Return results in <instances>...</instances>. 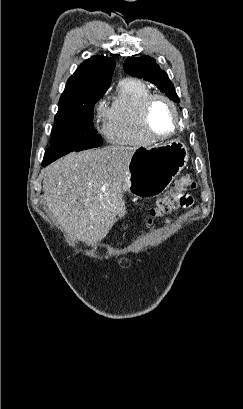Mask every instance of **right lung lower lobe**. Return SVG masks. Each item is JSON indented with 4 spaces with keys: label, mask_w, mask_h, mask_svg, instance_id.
<instances>
[{
    "label": "right lung lower lobe",
    "mask_w": 243,
    "mask_h": 409,
    "mask_svg": "<svg viewBox=\"0 0 243 409\" xmlns=\"http://www.w3.org/2000/svg\"><path fill=\"white\" fill-rule=\"evenodd\" d=\"M68 153H58V154H45L42 166H47L48 164L52 163L56 159L66 155Z\"/></svg>",
    "instance_id": "1"
}]
</instances>
